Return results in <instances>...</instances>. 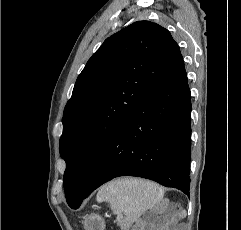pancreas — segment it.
<instances>
[{
  "instance_id": "cf45deb5",
  "label": "pancreas",
  "mask_w": 241,
  "mask_h": 230,
  "mask_svg": "<svg viewBox=\"0 0 241 230\" xmlns=\"http://www.w3.org/2000/svg\"><path fill=\"white\" fill-rule=\"evenodd\" d=\"M118 225L121 227L122 230H128L130 224L127 220L122 219L118 222Z\"/></svg>"
}]
</instances>
